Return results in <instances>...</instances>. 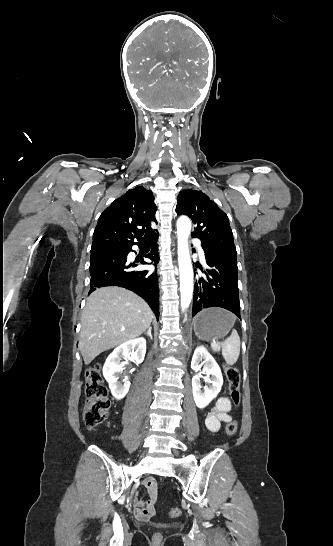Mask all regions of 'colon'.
I'll return each instance as SVG.
<instances>
[{
	"label": "colon",
	"mask_w": 333,
	"mask_h": 546,
	"mask_svg": "<svg viewBox=\"0 0 333 546\" xmlns=\"http://www.w3.org/2000/svg\"><path fill=\"white\" fill-rule=\"evenodd\" d=\"M224 372L228 383V391L232 404L237 407L240 404V382L241 377L239 370L230 365L224 366ZM86 403L84 410V422L88 429L98 427L105 419L110 401L108 399V391L104 384L100 366H94L86 372ZM238 429L236 421H230L225 427V432L228 436H233ZM181 509L175 507L168 513L169 517L177 518L181 515ZM156 539H160L161 535L156 534Z\"/></svg>",
	"instance_id": "colon-1"
}]
</instances>
